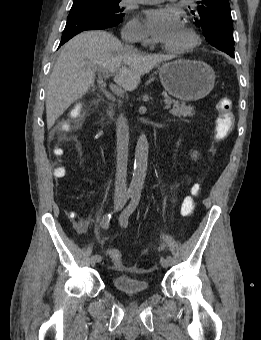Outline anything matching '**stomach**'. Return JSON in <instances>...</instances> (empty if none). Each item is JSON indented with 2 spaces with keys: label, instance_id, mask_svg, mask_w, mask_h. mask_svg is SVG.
<instances>
[{
  "label": "stomach",
  "instance_id": "1",
  "mask_svg": "<svg viewBox=\"0 0 261 340\" xmlns=\"http://www.w3.org/2000/svg\"><path fill=\"white\" fill-rule=\"evenodd\" d=\"M159 78L164 89L182 101L205 98L214 88L215 73L202 61L176 60L159 68Z\"/></svg>",
  "mask_w": 261,
  "mask_h": 340
}]
</instances>
